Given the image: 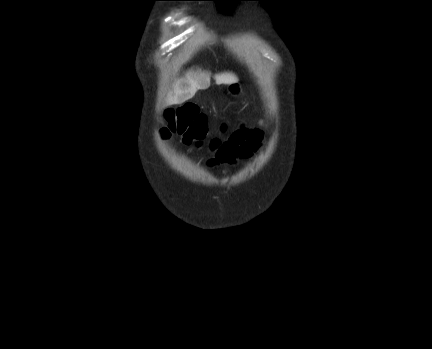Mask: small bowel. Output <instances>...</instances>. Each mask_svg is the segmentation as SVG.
Listing matches in <instances>:
<instances>
[{"label":"small bowel","instance_id":"small-bowel-1","mask_svg":"<svg viewBox=\"0 0 432 349\" xmlns=\"http://www.w3.org/2000/svg\"><path fill=\"white\" fill-rule=\"evenodd\" d=\"M262 141L261 129H240L224 143L216 155V161L234 164L239 159H248L261 147Z\"/></svg>","mask_w":432,"mask_h":349}]
</instances>
